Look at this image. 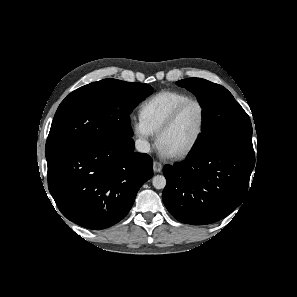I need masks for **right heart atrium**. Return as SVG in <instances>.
<instances>
[{"label": "right heart atrium", "instance_id": "right-heart-atrium-1", "mask_svg": "<svg viewBox=\"0 0 297 297\" xmlns=\"http://www.w3.org/2000/svg\"><path fill=\"white\" fill-rule=\"evenodd\" d=\"M131 128L137 138L138 146L141 151L147 152L151 148L153 132L149 129L141 117H135L131 121Z\"/></svg>", "mask_w": 297, "mask_h": 297}]
</instances>
